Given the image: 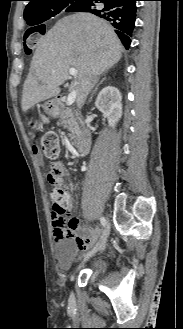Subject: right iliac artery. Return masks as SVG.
Segmentation results:
<instances>
[{
  "instance_id": "obj_1",
  "label": "right iliac artery",
  "mask_w": 183,
  "mask_h": 329,
  "mask_svg": "<svg viewBox=\"0 0 183 329\" xmlns=\"http://www.w3.org/2000/svg\"><path fill=\"white\" fill-rule=\"evenodd\" d=\"M100 222H101L102 226H105L106 225V220H105L104 217H101L100 218Z\"/></svg>"
}]
</instances>
